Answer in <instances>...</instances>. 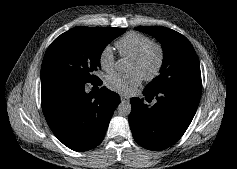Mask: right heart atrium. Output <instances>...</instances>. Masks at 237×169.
<instances>
[{"mask_svg":"<svg viewBox=\"0 0 237 169\" xmlns=\"http://www.w3.org/2000/svg\"><path fill=\"white\" fill-rule=\"evenodd\" d=\"M99 64L101 68L106 72H111L114 69L115 57L113 49L110 45L104 46L100 51Z\"/></svg>","mask_w":237,"mask_h":169,"instance_id":"right-heart-atrium-1","label":"right heart atrium"}]
</instances>
